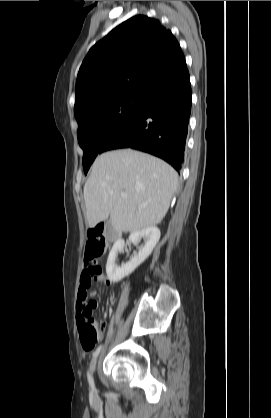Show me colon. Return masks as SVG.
<instances>
[{
	"label": "colon",
	"mask_w": 271,
	"mask_h": 418,
	"mask_svg": "<svg viewBox=\"0 0 271 418\" xmlns=\"http://www.w3.org/2000/svg\"><path fill=\"white\" fill-rule=\"evenodd\" d=\"M87 243L85 247V260L88 263V275L84 282L91 285L98 277L102 275L98 259L104 254L107 247V227L104 223H99L90 228L87 232ZM84 301L87 299V292L82 294ZM85 305V303L83 304ZM104 323L97 322L93 318V314H82L80 312L78 318V330L81 345L84 350L90 351L94 348L99 340Z\"/></svg>",
	"instance_id": "1"
}]
</instances>
